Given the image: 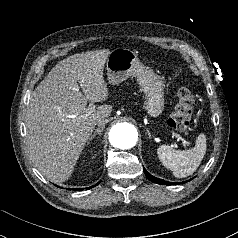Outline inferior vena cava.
I'll list each match as a JSON object with an SVG mask.
<instances>
[{
	"mask_svg": "<svg viewBox=\"0 0 238 238\" xmlns=\"http://www.w3.org/2000/svg\"><path fill=\"white\" fill-rule=\"evenodd\" d=\"M108 119H102V120H99L97 122L98 126L101 128V127H105L106 123H108Z\"/></svg>",
	"mask_w": 238,
	"mask_h": 238,
	"instance_id": "602c4592",
	"label": "inferior vena cava"
}]
</instances>
